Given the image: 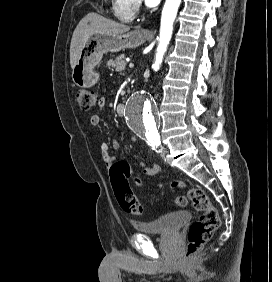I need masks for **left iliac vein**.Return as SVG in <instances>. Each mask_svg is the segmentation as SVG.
I'll use <instances>...</instances> for the list:
<instances>
[{
  "mask_svg": "<svg viewBox=\"0 0 272 282\" xmlns=\"http://www.w3.org/2000/svg\"><path fill=\"white\" fill-rule=\"evenodd\" d=\"M160 155H161V158H162L163 160H165V158H166V149H165V148H162V149H161Z\"/></svg>",
  "mask_w": 272,
  "mask_h": 282,
  "instance_id": "1",
  "label": "left iliac vein"
}]
</instances>
